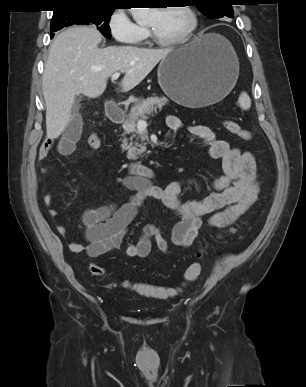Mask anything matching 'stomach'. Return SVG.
Here are the masks:
<instances>
[{
    "label": "stomach",
    "instance_id": "obj_1",
    "mask_svg": "<svg viewBox=\"0 0 306 387\" xmlns=\"http://www.w3.org/2000/svg\"><path fill=\"white\" fill-rule=\"evenodd\" d=\"M238 59L230 42L218 34H200L171 51L158 67V82L176 103L199 108L222 100L235 86Z\"/></svg>",
    "mask_w": 306,
    "mask_h": 387
}]
</instances>
